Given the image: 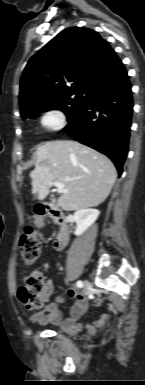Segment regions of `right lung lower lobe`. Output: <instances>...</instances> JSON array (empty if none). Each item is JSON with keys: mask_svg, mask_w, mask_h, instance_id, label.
Here are the masks:
<instances>
[{"mask_svg": "<svg viewBox=\"0 0 145 385\" xmlns=\"http://www.w3.org/2000/svg\"><path fill=\"white\" fill-rule=\"evenodd\" d=\"M132 113V90L125 70L93 88L85 106L64 131L107 155L121 175L128 152Z\"/></svg>", "mask_w": 145, "mask_h": 385, "instance_id": "1", "label": "right lung lower lobe"}]
</instances>
